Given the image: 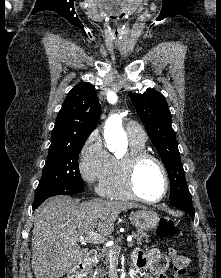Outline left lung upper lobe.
<instances>
[{
	"mask_svg": "<svg viewBox=\"0 0 221 278\" xmlns=\"http://www.w3.org/2000/svg\"><path fill=\"white\" fill-rule=\"evenodd\" d=\"M129 96L169 174L170 201L192 199L164 96L154 90H147L143 94L130 93Z\"/></svg>",
	"mask_w": 221,
	"mask_h": 278,
	"instance_id": "left-lung-upper-lobe-1",
	"label": "left lung upper lobe"
}]
</instances>
